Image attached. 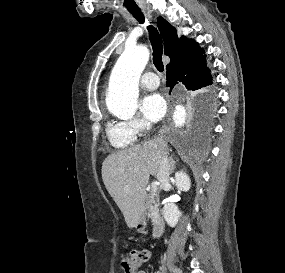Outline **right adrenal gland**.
I'll list each match as a JSON object with an SVG mask.
<instances>
[{
    "mask_svg": "<svg viewBox=\"0 0 285 273\" xmlns=\"http://www.w3.org/2000/svg\"><path fill=\"white\" fill-rule=\"evenodd\" d=\"M170 164H171L170 173H173L175 170L176 161L173 160L172 156L170 157Z\"/></svg>",
    "mask_w": 285,
    "mask_h": 273,
    "instance_id": "obj_1",
    "label": "right adrenal gland"
}]
</instances>
